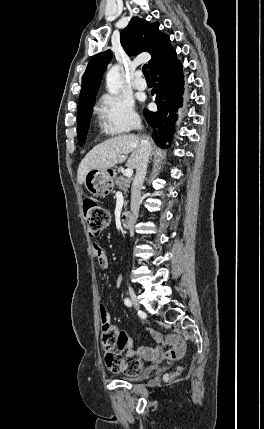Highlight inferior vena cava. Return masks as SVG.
Segmentation results:
<instances>
[{
	"instance_id": "obj_1",
	"label": "inferior vena cava",
	"mask_w": 264,
	"mask_h": 429,
	"mask_svg": "<svg viewBox=\"0 0 264 429\" xmlns=\"http://www.w3.org/2000/svg\"><path fill=\"white\" fill-rule=\"evenodd\" d=\"M136 129H142L141 121L137 120L135 123ZM151 153V146L147 140H141V151L139 162L136 167V175L133 181L132 190H131V211L133 214L132 221L130 222L131 228H129V233H134V228L138 221L139 208L142 202L141 198V188L145 180L147 173V165L149 156Z\"/></svg>"
}]
</instances>
